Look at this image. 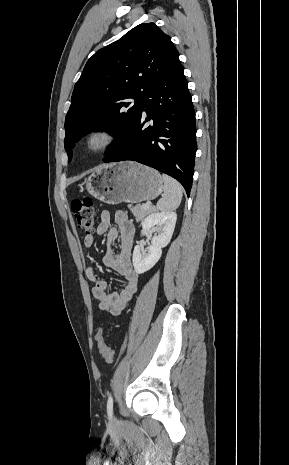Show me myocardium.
Listing matches in <instances>:
<instances>
[{"label": "myocardium", "mask_w": 289, "mask_h": 465, "mask_svg": "<svg viewBox=\"0 0 289 465\" xmlns=\"http://www.w3.org/2000/svg\"><path fill=\"white\" fill-rule=\"evenodd\" d=\"M118 140L115 129L105 123L92 125L81 139V149L89 155L98 154L111 148Z\"/></svg>", "instance_id": "f54148a6"}]
</instances>
